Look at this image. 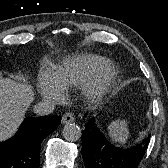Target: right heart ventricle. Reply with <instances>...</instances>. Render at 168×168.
Listing matches in <instances>:
<instances>
[{
	"instance_id": "1",
	"label": "right heart ventricle",
	"mask_w": 168,
	"mask_h": 168,
	"mask_svg": "<svg viewBox=\"0 0 168 168\" xmlns=\"http://www.w3.org/2000/svg\"><path fill=\"white\" fill-rule=\"evenodd\" d=\"M108 64L106 58L95 54H79L67 59L51 73L60 89L84 87Z\"/></svg>"
}]
</instances>
